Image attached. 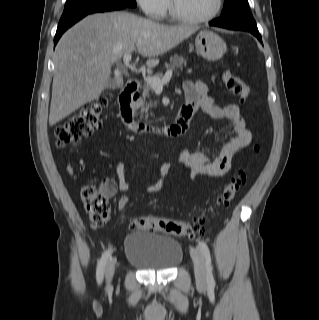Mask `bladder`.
Returning a JSON list of instances; mask_svg holds the SVG:
<instances>
[{
  "mask_svg": "<svg viewBox=\"0 0 319 320\" xmlns=\"http://www.w3.org/2000/svg\"><path fill=\"white\" fill-rule=\"evenodd\" d=\"M124 250L127 262L145 271L171 270L183 259V248L171 235L130 233L125 238Z\"/></svg>",
  "mask_w": 319,
  "mask_h": 320,
  "instance_id": "1",
  "label": "bladder"
}]
</instances>
